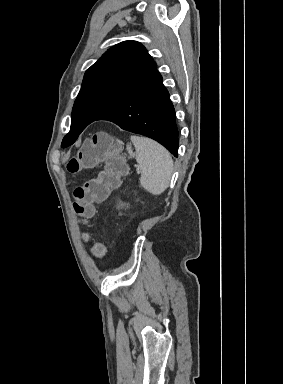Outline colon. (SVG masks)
Listing matches in <instances>:
<instances>
[{"label": "colon", "mask_w": 283, "mask_h": 384, "mask_svg": "<svg viewBox=\"0 0 283 384\" xmlns=\"http://www.w3.org/2000/svg\"><path fill=\"white\" fill-rule=\"evenodd\" d=\"M102 162L105 164L103 170L74 190L73 207L82 221L93 217L94 204L104 201L110 191L119 186L121 177L127 172V165L120 155L118 144L105 132L94 133L67 163V170L76 173ZM93 253L97 257H103L106 248L97 243L93 247Z\"/></svg>", "instance_id": "5ec220e1"}]
</instances>
